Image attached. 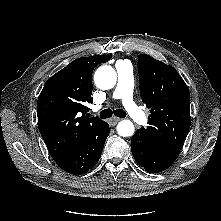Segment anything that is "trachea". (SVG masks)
Listing matches in <instances>:
<instances>
[{"label":"trachea","instance_id":"3493384b","mask_svg":"<svg viewBox=\"0 0 221 221\" xmlns=\"http://www.w3.org/2000/svg\"><path fill=\"white\" fill-rule=\"evenodd\" d=\"M113 114L117 117H120V118L126 117V112L124 110H121V109H116L114 111H112L111 109H104L100 113V117L103 118V119H106V118H110Z\"/></svg>","mask_w":221,"mask_h":221}]
</instances>
